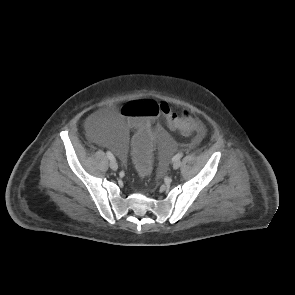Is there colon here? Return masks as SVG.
<instances>
[{
  "mask_svg": "<svg viewBox=\"0 0 295 295\" xmlns=\"http://www.w3.org/2000/svg\"><path fill=\"white\" fill-rule=\"evenodd\" d=\"M116 114L121 127H129L135 133L131 144L133 175L140 182L149 181L154 175L153 148L157 140L152 128L159 121H166L171 130H179L184 135L197 134L201 130L199 122L188 109L175 112L169 105L157 98L138 96L123 101Z\"/></svg>",
  "mask_w": 295,
  "mask_h": 295,
  "instance_id": "5ec220e1",
  "label": "colon"
}]
</instances>
